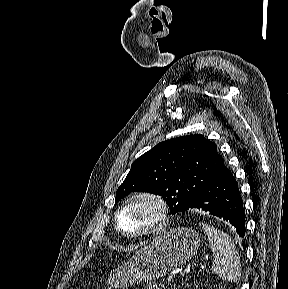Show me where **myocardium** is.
I'll use <instances>...</instances> for the list:
<instances>
[{
    "label": "myocardium",
    "instance_id": "obj_1",
    "mask_svg": "<svg viewBox=\"0 0 288 289\" xmlns=\"http://www.w3.org/2000/svg\"><path fill=\"white\" fill-rule=\"evenodd\" d=\"M138 200H145L152 203L157 211L156 218L153 223H151L147 228L143 230L133 233L126 232L121 228L120 215L129 204ZM168 213V205L162 196L150 191H141L131 195L120 205L115 214V227L120 234L127 238L136 239L155 235L166 228L168 224Z\"/></svg>",
    "mask_w": 288,
    "mask_h": 289
}]
</instances>
